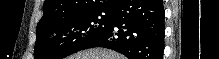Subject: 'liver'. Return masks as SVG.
Wrapping results in <instances>:
<instances>
[{
	"mask_svg": "<svg viewBox=\"0 0 219 59\" xmlns=\"http://www.w3.org/2000/svg\"><path fill=\"white\" fill-rule=\"evenodd\" d=\"M68 59H125V57L117 52L106 49H89L78 52Z\"/></svg>",
	"mask_w": 219,
	"mask_h": 59,
	"instance_id": "liver-1",
	"label": "liver"
}]
</instances>
